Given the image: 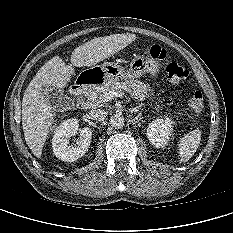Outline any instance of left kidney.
Returning a JSON list of instances; mask_svg holds the SVG:
<instances>
[{
  "mask_svg": "<svg viewBox=\"0 0 233 233\" xmlns=\"http://www.w3.org/2000/svg\"><path fill=\"white\" fill-rule=\"evenodd\" d=\"M173 121L166 118H157L149 123L147 137L156 148L164 147L170 140L173 130Z\"/></svg>",
  "mask_w": 233,
  "mask_h": 233,
  "instance_id": "left-kidney-1",
  "label": "left kidney"
}]
</instances>
